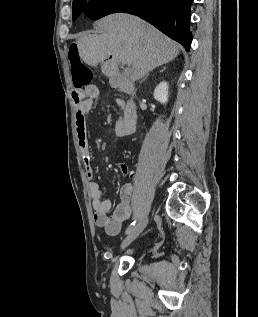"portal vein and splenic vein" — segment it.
Here are the masks:
<instances>
[{
    "instance_id": "1",
    "label": "portal vein and splenic vein",
    "mask_w": 258,
    "mask_h": 317,
    "mask_svg": "<svg viewBox=\"0 0 258 317\" xmlns=\"http://www.w3.org/2000/svg\"><path fill=\"white\" fill-rule=\"evenodd\" d=\"M125 72L126 74H130V72H132V68H130V64L129 66H127V68H125Z\"/></svg>"
}]
</instances>
